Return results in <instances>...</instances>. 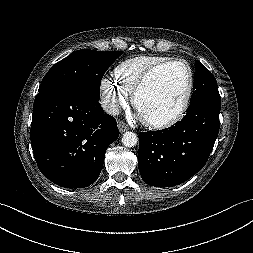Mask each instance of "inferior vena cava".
Returning <instances> with one entry per match:
<instances>
[{"label": "inferior vena cava", "mask_w": 253, "mask_h": 253, "mask_svg": "<svg viewBox=\"0 0 253 253\" xmlns=\"http://www.w3.org/2000/svg\"><path fill=\"white\" fill-rule=\"evenodd\" d=\"M101 106L105 110V112L111 115H118L120 112L119 104L109 98H103L101 100Z\"/></svg>", "instance_id": "obj_1"}]
</instances>
